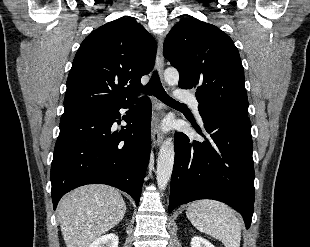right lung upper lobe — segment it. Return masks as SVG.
<instances>
[{
  "label": "right lung upper lobe",
  "mask_w": 310,
  "mask_h": 247,
  "mask_svg": "<svg viewBox=\"0 0 310 247\" xmlns=\"http://www.w3.org/2000/svg\"><path fill=\"white\" fill-rule=\"evenodd\" d=\"M156 51L154 38L135 19L120 18L94 30L75 55L64 112L132 101Z\"/></svg>",
  "instance_id": "right-lung-upper-lobe-1"
}]
</instances>
